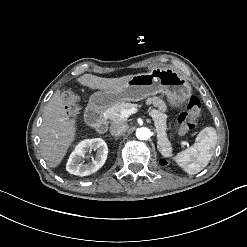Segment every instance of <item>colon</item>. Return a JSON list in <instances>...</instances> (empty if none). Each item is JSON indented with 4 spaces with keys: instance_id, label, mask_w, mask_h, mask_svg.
I'll use <instances>...</instances> for the list:
<instances>
[{
    "instance_id": "obj_1",
    "label": "colon",
    "mask_w": 247,
    "mask_h": 247,
    "mask_svg": "<svg viewBox=\"0 0 247 247\" xmlns=\"http://www.w3.org/2000/svg\"><path fill=\"white\" fill-rule=\"evenodd\" d=\"M65 100V108L67 111L76 115L78 113V104L74 94L66 93L64 95ZM201 112V102L198 97L191 96L188 102L187 111L181 113L178 116V124L181 127L178 130V135L180 137H185L187 135V130L185 128H192L194 124L197 122ZM164 165H168V161H163Z\"/></svg>"
}]
</instances>
